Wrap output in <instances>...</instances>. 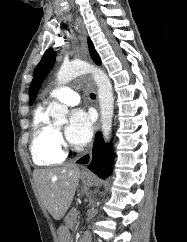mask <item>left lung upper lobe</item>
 I'll list each match as a JSON object with an SVG mask.
<instances>
[{
	"mask_svg": "<svg viewBox=\"0 0 187 242\" xmlns=\"http://www.w3.org/2000/svg\"><path fill=\"white\" fill-rule=\"evenodd\" d=\"M88 45H89V51L93 61L97 65H100L101 60L90 40H88ZM55 57H56V52L52 48H49L42 56L40 63L37 65L34 71V77L29 89L30 105L33 104L42 82L48 75L49 71L52 69L55 63Z\"/></svg>",
	"mask_w": 187,
	"mask_h": 242,
	"instance_id": "obj_1",
	"label": "left lung upper lobe"
}]
</instances>
